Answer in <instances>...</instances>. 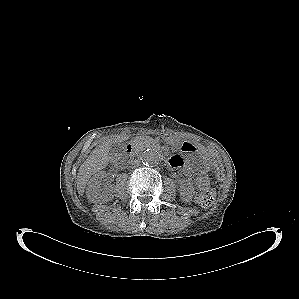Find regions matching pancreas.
<instances>
[{
  "label": "pancreas",
  "mask_w": 299,
  "mask_h": 299,
  "mask_svg": "<svg viewBox=\"0 0 299 299\" xmlns=\"http://www.w3.org/2000/svg\"><path fill=\"white\" fill-rule=\"evenodd\" d=\"M135 145H136L137 147L143 146V145H144V139H142V138H137V139L135 140Z\"/></svg>",
  "instance_id": "1"
}]
</instances>
